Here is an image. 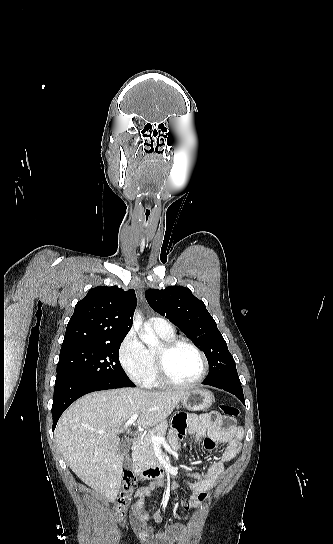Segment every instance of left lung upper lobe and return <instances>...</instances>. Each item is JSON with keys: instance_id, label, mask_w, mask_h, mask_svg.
Here are the masks:
<instances>
[{"instance_id": "obj_1", "label": "left lung upper lobe", "mask_w": 333, "mask_h": 544, "mask_svg": "<svg viewBox=\"0 0 333 544\" xmlns=\"http://www.w3.org/2000/svg\"><path fill=\"white\" fill-rule=\"evenodd\" d=\"M145 297L153 310L170 320L201 347L209 363V373L204 382H240L233 356L215 320L204 302L197 299L190 289L183 286L149 289Z\"/></svg>"}]
</instances>
